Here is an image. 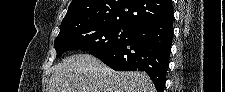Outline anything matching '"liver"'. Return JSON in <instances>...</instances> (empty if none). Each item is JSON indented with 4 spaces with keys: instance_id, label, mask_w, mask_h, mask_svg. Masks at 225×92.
<instances>
[{
    "instance_id": "obj_1",
    "label": "liver",
    "mask_w": 225,
    "mask_h": 92,
    "mask_svg": "<svg viewBox=\"0 0 225 92\" xmlns=\"http://www.w3.org/2000/svg\"><path fill=\"white\" fill-rule=\"evenodd\" d=\"M48 92H155L144 72H118L90 54L66 57L52 68Z\"/></svg>"
}]
</instances>
